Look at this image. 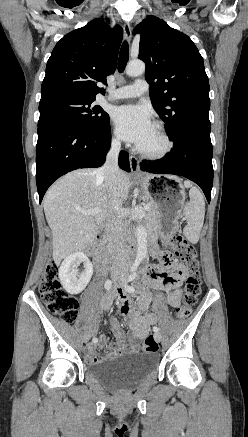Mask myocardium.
Returning a JSON list of instances; mask_svg holds the SVG:
<instances>
[{
	"mask_svg": "<svg viewBox=\"0 0 248 437\" xmlns=\"http://www.w3.org/2000/svg\"><path fill=\"white\" fill-rule=\"evenodd\" d=\"M153 126L157 129V131H158V133H159V135L164 143L163 148L159 151H156V152H150V151H146V150L140 148L137 145L135 147V150L143 158L156 161V160H161V159L167 157L171 153V151L173 149V141L171 140L165 126L161 122H155Z\"/></svg>",
	"mask_w": 248,
	"mask_h": 437,
	"instance_id": "1",
	"label": "myocardium"
}]
</instances>
